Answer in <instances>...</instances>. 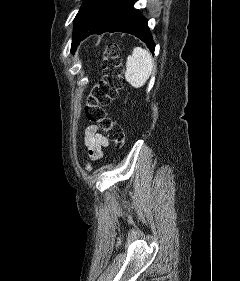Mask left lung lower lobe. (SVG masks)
I'll return each mask as SVG.
<instances>
[{
  "label": "left lung lower lobe",
  "instance_id": "0a47b994",
  "mask_svg": "<svg viewBox=\"0 0 240 281\" xmlns=\"http://www.w3.org/2000/svg\"><path fill=\"white\" fill-rule=\"evenodd\" d=\"M134 1L103 0L82 28L74 50L80 41L89 35L120 31L140 38L154 53L155 43L147 24L148 21L140 14L139 10L133 7Z\"/></svg>",
  "mask_w": 240,
  "mask_h": 281
}]
</instances>
